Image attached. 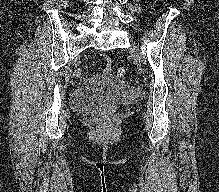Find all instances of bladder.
<instances>
[{
    "mask_svg": "<svg viewBox=\"0 0 219 192\" xmlns=\"http://www.w3.org/2000/svg\"><path fill=\"white\" fill-rule=\"evenodd\" d=\"M136 95L137 92L134 88L110 79L96 90L78 89L72 95V103L82 113H110Z\"/></svg>",
    "mask_w": 219,
    "mask_h": 192,
    "instance_id": "bladder-1",
    "label": "bladder"
}]
</instances>
